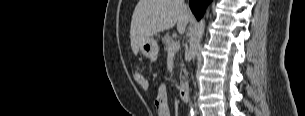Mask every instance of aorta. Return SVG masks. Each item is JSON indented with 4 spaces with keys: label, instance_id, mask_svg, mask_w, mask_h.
Listing matches in <instances>:
<instances>
[{
    "label": "aorta",
    "instance_id": "762f6f07",
    "mask_svg": "<svg viewBox=\"0 0 305 116\" xmlns=\"http://www.w3.org/2000/svg\"><path fill=\"white\" fill-rule=\"evenodd\" d=\"M204 30H205V20L202 19L197 24V26L195 27V30L193 32V36H192V39H191V46H192L193 49H196L199 46L200 41H201V39L203 37V34H204Z\"/></svg>",
    "mask_w": 305,
    "mask_h": 116
}]
</instances>
